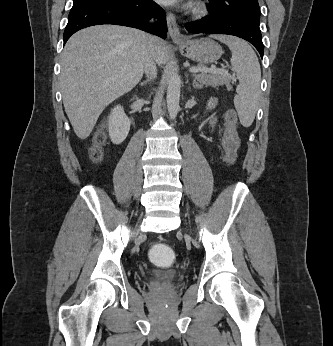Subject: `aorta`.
Listing matches in <instances>:
<instances>
[{"label":"aorta","mask_w":333,"mask_h":346,"mask_svg":"<svg viewBox=\"0 0 333 346\" xmlns=\"http://www.w3.org/2000/svg\"><path fill=\"white\" fill-rule=\"evenodd\" d=\"M180 88L179 77L172 75L167 87V109L171 119H175L179 112Z\"/></svg>","instance_id":"obj_1"}]
</instances>
